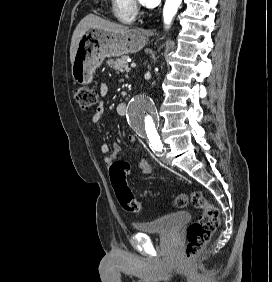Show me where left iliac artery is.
Wrapping results in <instances>:
<instances>
[{"instance_id":"1","label":"left iliac artery","mask_w":272,"mask_h":282,"mask_svg":"<svg viewBox=\"0 0 272 282\" xmlns=\"http://www.w3.org/2000/svg\"><path fill=\"white\" fill-rule=\"evenodd\" d=\"M150 147L153 151L157 152H162V150L164 149L163 144L159 138L151 140Z\"/></svg>"}]
</instances>
